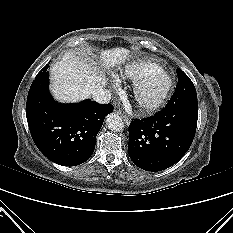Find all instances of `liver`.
I'll return each instance as SVG.
<instances>
[{"instance_id":"liver-1","label":"liver","mask_w":233,"mask_h":233,"mask_svg":"<svg viewBox=\"0 0 233 233\" xmlns=\"http://www.w3.org/2000/svg\"><path fill=\"white\" fill-rule=\"evenodd\" d=\"M129 54V50L120 47L101 51L107 66L124 62ZM50 72L52 93L60 102L86 99L106 84L105 76L99 72L96 62L74 52L65 53L61 61L51 67Z\"/></svg>"}]
</instances>
